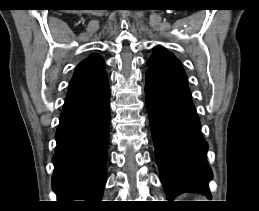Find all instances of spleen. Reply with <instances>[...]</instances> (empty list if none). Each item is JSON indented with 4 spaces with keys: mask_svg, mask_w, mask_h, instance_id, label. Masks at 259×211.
I'll list each match as a JSON object with an SVG mask.
<instances>
[{
    "mask_svg": "<svg viewBox=\"0 0 259 211\" xmlns=\"http://www.w3.org/2000/svg\"><path fill=\"white\" fill-rule=\"evenodd\" d=\"M198 199H199V200H196V201H206L205 198L202 197V196H198Z\"/></svg>",
    "mask_w": 259,
    "mask_h": 211,
    "instance_id": "3e777b00",
    "label": "spleen"
}]
</instances>
